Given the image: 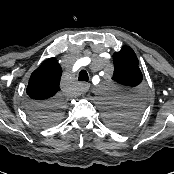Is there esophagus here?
<instances>
[{"label": "esophagus", "mask_w": 174, "mask_h": 174, "mask_svg": "<svg viewBox=\"0 0 174 174\" xmlns=\"http://www.w3.org/2000/svg\"><path fill=\"white\" fill-rule=\"evenodd\" d=\"M90 88V84L89 83H81V90L82 92H87Z\"/></svg>", "instance_id": "34e87169"}]
</instances>
